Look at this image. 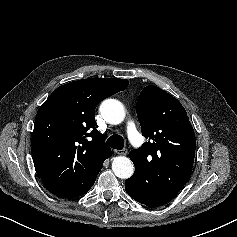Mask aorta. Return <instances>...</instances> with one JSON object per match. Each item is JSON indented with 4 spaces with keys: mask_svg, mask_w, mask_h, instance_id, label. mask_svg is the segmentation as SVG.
<instances>
[{
    "mask_svg": "<svg viewBox=\"0 0 237 237\" xmlns=\"http://www.w3.org/2000/svg\"><path fill=\"white\" fill-rule=\"evenodd\" d=\"M100 113L110 124H119L125 117L123 105L115 99L104 100L100 105ZM112 170L118 178L128 179L134 173V166L129 158L118 156L112 162Z\"/></svg>",
    "mask_w": 237,
    "mask_h": 237,
    "instance_id": "1",
    "label": "aorta"
}]
</instances>
